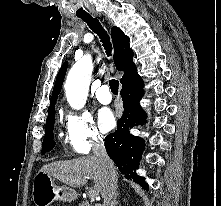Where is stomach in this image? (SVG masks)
<instances>
[{
    "label": "stomach",
    "instance_id": "stomach-1",
    "mask_svg": "<svg viewBox=\"0 0 221 206\" xmlns=\"http://www.w3.org/2000/svg\"><path fill=\"white\" fill-rule=\"evenodd\" d=\"M76 197L75 190L57 185L54 178L43 172L34 178L32 198L36 206H49L54 200L71 201Z\"/></svg>",
    "mask_w": 221,
    "mask_h": 206
}]
</instances>
